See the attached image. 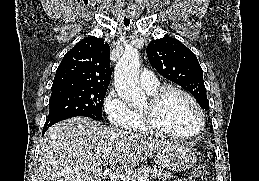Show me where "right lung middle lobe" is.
Instances as JSON below:
<instances>
[{
	"instance_id": "dd1d6c3e",
	"label": "right lung middle lobe",
	"mask_w": 259,
	"mask_h": 181,
	"mask_svg": "<svg viewBox=\"0 0 259 181\" xmlns=\"http://www.w3.org/2000/svg\"><path fill=\"white\" fill-rule=\"evenodd\" d=\"M51 90L50 111L44 128L75 116L103 120L102 106L107 88L62 86Z\"/></svg>"
}]
</instances>
